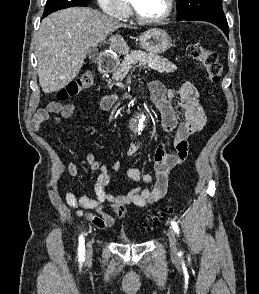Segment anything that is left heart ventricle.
<instances>
[{
  "label": "left heart ventricle",
  "instance_id": "left-heart-ventricle-1",
  "mask_svg": "<svg viewBox=\"0 0 259 294\" xmlns=\"http://www.w3.org/2000/svg\"><path fill=\"white\" fill-rule=\"evenodd\" d=\"M140 14L148 18L161 16L166 10V0H130Z\"/></svg>",
  "mask_w": 259,
  "mask_h": 294
}]
</instances>
